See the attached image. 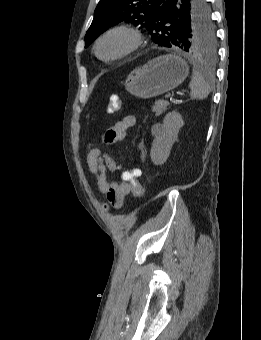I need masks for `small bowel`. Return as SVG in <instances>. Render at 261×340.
I'll return each instance as SVG.
<instances>
[{
    "label": "small bowel",
    "instance_id": "obj_1",
    "mask_svg": "<svg viewBox=\"0 0 261 340\" xmlns=\"http://www.w3.org/2000/svg\"><path fill=\"white\" fill-rule=\"evenodd\" d=\"M135 123L136 117L134 115L123 116L113 127L106 131L104 135L105 142L113 143L123 140L128 130ZM86 160L90 173L96 177L99 191L106 197L105 208L122 207L125 197L131 193V188L123 178L121 181L109 182L107 180L108 172L117 171L115 160L96 147H90L87 150Z\"/></svg>",
    "mask_w": 261,
    "mask_h": 340
}]
</instances>
